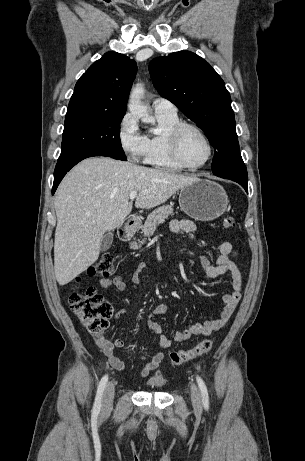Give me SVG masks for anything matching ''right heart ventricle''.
Segmentation results:
<instances>
[{
	"mask_svg": "<svg viewBox=\"0 0 305 461\" xmlns=\"http://www.w3.org/2000/svg\"><path fill=\"white\" fill-rule=\"evenodd\" d=\"M157 124L143 135L141 159L144 164L155 168L179 171L181 167L174 162L168 149V136L171 129L181 122L177 113H157Z\"/></svg>",
	"mask_w": 305,
	"mask_h": 461,
	"instance_id": "e07e8e85",
	"label": "right heart ventricle"
}]
</instances>
